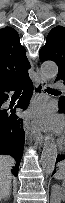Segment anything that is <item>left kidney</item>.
Listing matches in <instances>:
<instances>
[{
    "label": "left kidney",
    "instance_id": "5707ae66",
    "mask_svg": "<svg viewBox=\"0 0 65 203\" xmlns=\"http://www.w3.org/2000/svg\"><path fill=\"white\" fill-rule=\"evenodd\" d=\"M58 191L56 193V196L59 201H64L65 200V190L63 188L57 187ZM51 203H56V202H51Z\"/></svg>",
    "mask_w": 65,
    "mask_h": 203
}]
</instances>
